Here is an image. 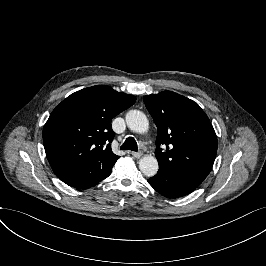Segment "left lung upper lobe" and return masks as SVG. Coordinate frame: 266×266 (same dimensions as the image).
Wrapping results in <instances>:
<instances>
[{"mask_svg": "<svg viewBox=\"0 0 266 266\" xmlns=\"http://www.w3.org/2000/svg\"><path fill=\"white\" fill-rule=\"evenodd\" d=\"M144 103L157 126L159 168L200 184L217 152V137L205 112L194 101L170 91L146 95Z\"/></svg>", "mask_w": 266, "mask_h": 266, "instance_id": "5c2ea615", "label": "left lung upper lobe"}]
</instances>
